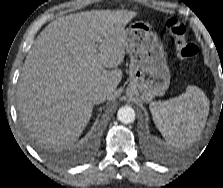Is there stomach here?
I'll return each mask as SVG.
<instances>
[{"instance_id": "obj_1", "label": "stomach", "mask_w": 223, "mask_h": 188, "mask_svg": "<svg viewBox=\"0 0 223 188\" xmlns=\"http://www.w3.org/2000/svg\"><path fill=\"white\" fill-rule=\"evenodd\" d=\"M125 49L130 56L129 98L150 102L162 95L170 84V71L163 46L150 25L143 21L125 29Z\"/></svg>"}]
</instances>
